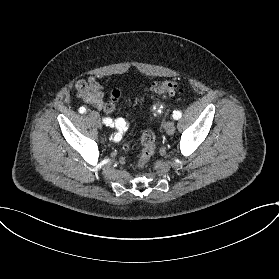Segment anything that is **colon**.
Returning <instances> with one entry per match:
<instances>
[{"instance_id": "1", "label": "colon", "mask_w": 279, "mask_h": 279, "mask_svg": "<svg viewBox=\"0 0 279 279\" xmlns=\"http://www.w3.org/2000/svg\"><path fill=\"white\" fill-rule=\"evenodd\" d=\"M153 91L158 96L167 97L177 93H181L183 88L181 84L176 80H166L156 82L153 85ZM121 99V92L118 89H111L108 95V99L104 103L103 109L106 113H110L115 108L116 103ZM130 147L126 143L123 146L124 150H128ZM155 150V135L152 131H144L140 142V156L135 162V168L137 170H143L147 163L154 155Z\"/></svg>"}]
</instances>
